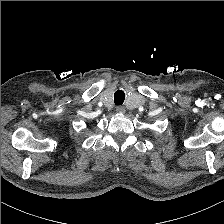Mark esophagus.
Instances as JSON below:
<instances>
[{
	"label": "esophagus",
	"instance_id": "1",
	"mask_svg": "<svg viewBox=\"0 0 224 224\" xmlns=\"http://www.w3.org/2000/svg\"><path fill=\"white\" fill-rule=\"evenodd\" d=\"M116 111L119 112V113H124L125 109L123 107H117Z\"/></svg>",
	"mask_w": 224,
	"mask_h": 224
}]
</instances>
